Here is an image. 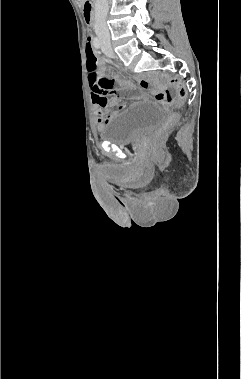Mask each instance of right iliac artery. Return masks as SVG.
Returning a JSON list of instances; mask_svg holds the SVG:
<instances>
[{"label": "right iliac artery", "mask_w": 241, "mask_h": 379, "mask_svg": "<svg viewBox=\"0 0 241 379\" xmlns=\"http://www.w3.org/2000/svg\"><path fill=\"white\" fill-rule=\"evenodd\" d=\"M93 44H94V47L97 48V49H99L100 46H101V43H100V41H99L98 38H94Z\"/></svg>", "instance_id": "right-iliac-artery-1"}]
</instances>
